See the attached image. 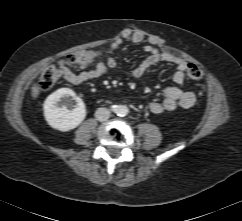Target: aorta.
<instances>
[{"instance_id":"762f6f07","label":"aorta","mask_w":242,"mask_h":221,"mask_svg":"<svg viewBox=\"0 0 242 221\" xmlns=\"http://www.w3.org/2000/svg\"><path fill=\"white\" fill-rule=\"evenodd\" d=\"M129 112V109L127 106L125 105H118L116 108H115V113L118 115V116H125L127 115Z\"/></svg>"}]
</instances>
